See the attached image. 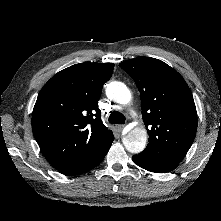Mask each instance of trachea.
I'll use <instances>...</instances> for the list:
<instances>
[{"label":"trachea","mask_w":221,"mask_h":221,"mask_svg":"<svg viewBox=\"0 0 221 221\" xmlns=\"http://www.w3.org/2000/svg\"><path fill=\"white\" fill-rule=\"evenodd\" d=\"M108 121L111 124H124L125 116L120 112L114 111L110 114Z\"/></svg>","instance_id":"3493384b"}]
</instances>
